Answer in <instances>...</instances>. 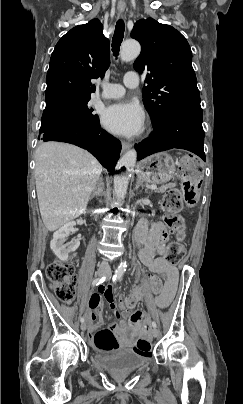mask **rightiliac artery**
Listing matches in <instances>:
<instances>
[{"mask_svg": "<svg viewBox=\"0 0 243 404\" xmlns=\"http://www.w3.org/2000/svg\"><path fill=\"white\" fill-rule=\"evenodd\" d=\"M116 275V274H115ZM115 275L112 276V278L115 277ZM106 280V277H102V278H96L95 280H93L92 285L93 286H98L101 283H103ZM80 321L83 323L85 320L83 317H80Z\"/></svg>", "mask_w": 243, "mask_h": 404, "instance_id": "82829eb1", "label": "right iliac artery"}]
</instances>
